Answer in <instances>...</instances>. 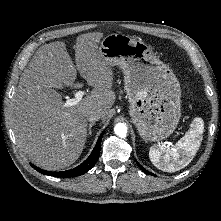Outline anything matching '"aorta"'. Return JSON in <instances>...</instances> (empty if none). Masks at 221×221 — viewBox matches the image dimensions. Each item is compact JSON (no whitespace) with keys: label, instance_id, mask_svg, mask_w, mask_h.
Wrapping results in <instances>:
<instances>
[{"label":"aorta","instance_id":"obj_1","mask_svg":"<svg viewBox=\"0 0 221 221\" xmlns=\"http://www.w3.org/2000/svg\"><path fill=\"white\" fill-rule=\"evenodd\" d=\"M114 132L117 136L124 138L127 135V127L124 123H117L114 127Z\"/></svg>","mask_w":221,"mask_h":221}]
</instances>
